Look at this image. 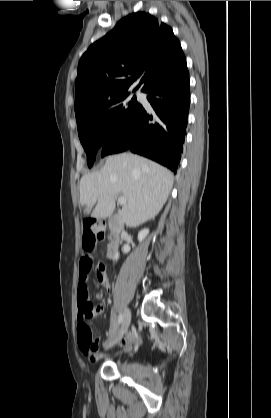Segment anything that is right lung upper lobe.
Here are the masks:
<instances>
[{
	"label": "right lung upper lobe",
	"mask_w": 271,
	"mask_h": 418,
	"mask_svg": "<svg viewBox=\"0 0 271 418\" xmlns=\"http://www.w3.org/2000/svg\"><path fill=\"white\" fill-rule=\"evenodd\" d=\"M185 61L171 27L146 12L132 13L81 57L75 81V114L136 89L148 92Z\"/></svg>",
	"instance_id": "1"
}]
</instances>
